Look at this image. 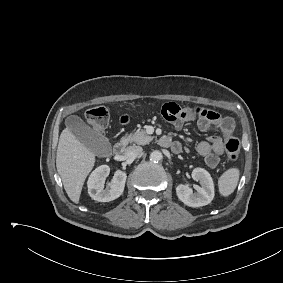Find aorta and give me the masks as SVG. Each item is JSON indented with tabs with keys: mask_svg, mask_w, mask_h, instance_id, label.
Returning a JSON list of instances; mask_svg holds the SVG:
<instances>
[{
	"mask_svg": "<svg viewBox=\"0 0 283 283\" xmlns=\"http://www.w3.org/2000/svg\"><path fill=\"white\" fill-rule=\"evenodd\" d=\"M162 158H163V155L158 150H155V151L151 152V154H150V160L152 162H159V161L162 160Z\"/></svg>",
	"mask_w": 283,
	"mask_h": 283,
	"instance_id": "aorta-1",
	"label": "aorta"
}]
</instances>
